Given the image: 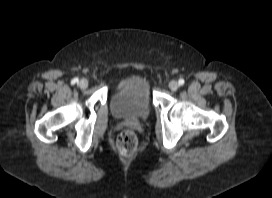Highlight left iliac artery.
Listing matches in <instances>:
<instances>
[{
    "label": "left iliac artery",
    "mask_w": 272,
    "mask_h": 198,
    "mask_svg": "<svg viewBox=\"0 0 272 198\" xmlns=\"http://www.w3.org/2000/svg\"><path fill=\"white\" fill-rule=\"evenodd\" d=\"M179 85H183L185 83L184 79H179Z\"/></svg>",
    "instance_id": "left-iliac-artery-1"
}]
</instances>
